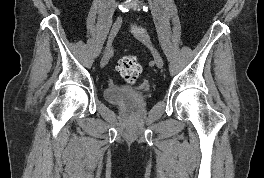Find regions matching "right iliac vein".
<instances>
[{
    "mask_svg": "<svg viewBox=\"0 0 264 178\" xmlns=\"http://www.w3.org/2000/svg\"><path fill=\"white\" fill-rule=\"evenodd\" d=\"M121 25H122V18L118 17L116 19V21L114 22L112 28H111L109 38H108L107 47L105 49V52H104L102 59H101V62H100L102 67L106 64L107 60L109 59L110 45H111L112 41L114 40L115 36L117 35V33L119 32Z\"/></svg>",
    "mask_w": 264,
    "mask_h": 178,
    "instance_id": "right-iliac-vein-1",
    "label": "right iliac vein"
}]
</instances>
